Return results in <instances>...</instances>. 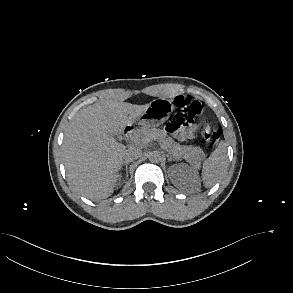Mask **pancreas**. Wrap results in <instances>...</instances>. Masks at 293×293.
<instances>
[{"mask_svg": "<svg viewBox=\"0 0 293 293\" xmlns=\"http://www.w3.org/2000/svg\"><path fill=\"white\" fill-rule=\"evenodd\" d=\"M134 136H139L143 142L148 143L152 140H158L161 147L175 159H186L193 166H200V163L205 158V154L200 147L195 146H182L175 142L171 137H169L163 130L156 128H146L135 132Z\"/></svg>", "mask_w": 293, "mask_h": 293, "instance_id": "obj_1", "label": "pancreas"}]
</instances>
